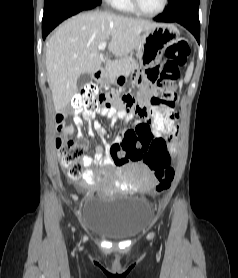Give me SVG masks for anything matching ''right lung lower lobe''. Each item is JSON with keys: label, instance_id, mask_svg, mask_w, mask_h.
<instances>
[{"label": "right lung lower lobe", "instance_id": "1", "mask_svg": "<svg viewBox=\"0 0 238 278\" xmlns=\"http://www.w3.org/2000/svg\"><path fill=\"white\" fill-rule=\"evenodd\" d=\"M100 2L101 0H44L43 39L66 18L81 11L92 9L100 5Z\"/></svg>", "mask_w": 238, "mask_h": 278}]
</instances>
